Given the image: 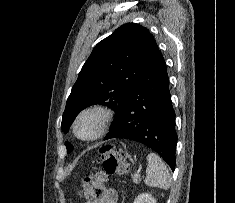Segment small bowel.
Masks as SVG:
<instances>
[{"label":"small bowel","mask_w":235,"mask_h":203,"mask_svg":"<svg viewBox=\"0 0 235 203\" xmlns=\"http://www.w3.org/2000/svg\"><path fill=\"white\" fill-rule=\"evenodd\" d=\"M118 193L114 188H109L106 190L104 196L99 199H92L87 203H117Z\"/></svg>","instance_id":"1"}]
</instances>
